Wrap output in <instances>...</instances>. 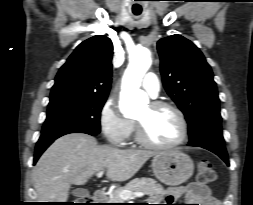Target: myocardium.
Listing matches in <instances>:
<instances>
[{
	"label": "myocardium",
	"mask_w": 253,
	"mask_h": 205,
	"mask_svg": "<svg viewBox=\"0 0 253 205\" xmlns=\"http://www.w3.org/2000/svg\"><path fill=\"white\" fill-rule=\"evenodd\" d=\"M149 105L153 110L162 109V108H167V109L172 110L179 119V122L181 125V135L178 140H176L175 142L171 144H167V145L156 144L148 139L142 123L139 122L138 120H135V135H136V140L138 141V143L146 148L153 149V150H170L182 145L187 140L188 133H189L188 122H187L184 112L177 105L168 101L156 100V101L151 102Z\"/></svg>",
	"instance_id": "1"
}]
</instances>
